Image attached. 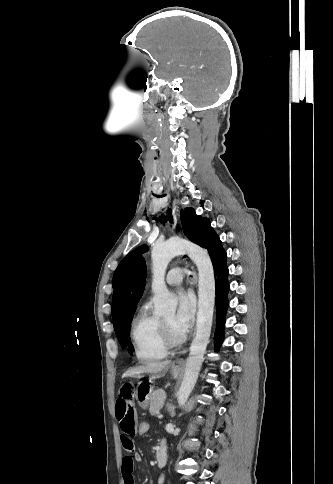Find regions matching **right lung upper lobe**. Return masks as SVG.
Segmentation results:
<instances>
[{
    "label": "right lung upper lobe",
    "instance_id": "1",
    "mask_svg": "<svg viewBox=\"0 0 333 484\" xmlns=\"http://www.w3.org/2000/svg\"><path fill=\"white\" fill-rule=\"evenodd\" d=\"M146 283V265L142 256L133 259L123 270L112 299V318L115 332L125 319L133 315Z\"/></svg>",
    "mask_w": 333,
    "mask_h": 484
}]
</instances>
